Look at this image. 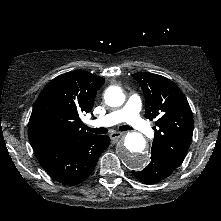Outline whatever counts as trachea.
<instances>
[{
    "label": "trachea",
    "instance_id": "obj_1",
    "mask_svg": "<svg viewBox=\"0 0 221 221\" xmlns=\"http://www.w3.org/2000/svg\"><path fill=\"white\" fill-rule=\"evenodd\" d=\"M85 129L89 132L95 133V134H105L108 132V129L100 127V128H90L85 126ZM132 127L127 126V125H123L119 127V131H128L131 130Z\"/></svg>",
    "mask_w": 221,
    "mask_h": 221
}]
</instances>
